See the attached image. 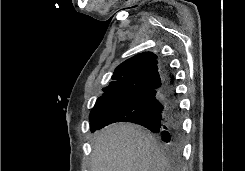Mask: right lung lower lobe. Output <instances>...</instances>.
Wrapping results in <instances>:
<instances>
[{
	"label": "right lung lower lobe",
	"mask_w": 245,
	"mask_h": 171,
	"mask_svg": "<svg viewBox=\"0 0 245 171\" xmlns=\"http://www.w3.org/2000/svg\"><path fill=\"white\" fill-rule=\"evenodd\" d=\"M163 73L164 85L160 89L123 100L93 131L114 122H133L158 133L168 146H176L181 137L180 109L166 64Z\"/></svg>",
	"instance_id": "1"
}]
</instances>
